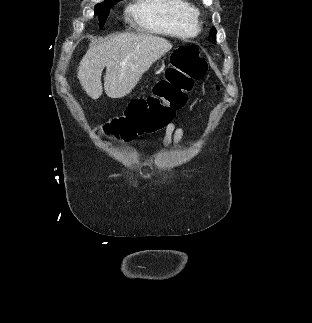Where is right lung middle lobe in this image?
Here are the masks:
<instances>
[{
	"label": "right lung middle lobe",
	"mask_w": 312,
	"mask_h": 323,
	"mask_svg": "<svg viewBox=\"0 0 312 323\" xmlns=\"http://www.w3.org/2000/svg\"><path fill=\"white\" fill-rule=\"evenodd\" d=\"M114 3H108V4H97L95 6V13H99V21H100V26L103 27L104 23L106 21V18L109 14V8L110 6Z\"/></svg>",
	"instance_id": "obj_1"
}]
</instances>
